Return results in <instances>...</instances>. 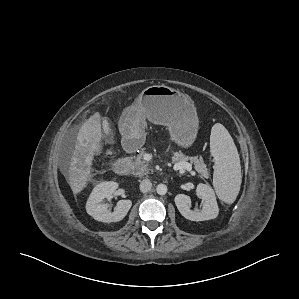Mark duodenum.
Returning <instances> with one entry per match:
<instances>
[{"label": "duodenum", "mask_w": 299, "mask_h": 299, "mask_svg": "<svg viewBox=\"0 0 299 299\" xmlns=\"http://www.w3.org/2000/svg\"><path fill=\"white\" fill-rule=\"evenodd\" d=\"M124 146L127 151L133 152L135 150V140L133 138L127 137L124 140ZM114 172L118 176H125L128 173V162L124 159L118 160L114 164Z\"/></svg>", "instance_id": "410a0bca"}]
</instances>
